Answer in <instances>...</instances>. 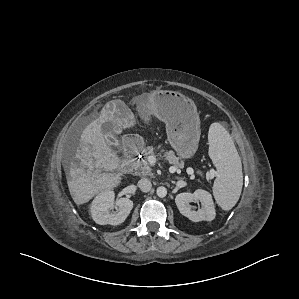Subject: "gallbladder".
<instances>
[{"mask_svg": "<svg viewBox=\"0 0 299 299\" xmlns=\"http://www.w3.org/2000/svg\"><path fill=\"white\" fill-rule=\"evenodd\" d=\"M102 133L104 136L108 138V145L112 148H119L120 143L119 141L114 137V126L111 122H106L102 125Z\"/></svg>", "mask_w": 299, "mask_h": 299, "instance_id": "gallbladder-1", "label": "gallbladder"}]
</instances>
